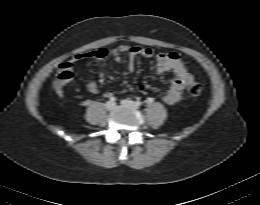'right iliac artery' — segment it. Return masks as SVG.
Wrapping results in <instances>:
<instances>
[{
  "label": "right iliac artery",
  "mask_w": 260,
  "mask_h": 205,
  "mask_svg": "<svg viewBox=\"0 0 260 205\" xmlns=\"http://www.w3.org/2000/svg\"><path fill=\"white\" fill-rule=\"evenodd\" d=\"M110 101H111V102H114V101H116V98L113 97V96H111V97H110Z\"/></svg>",
  "instance_id": "right-iliac-artery-1"
}]
</instances>
